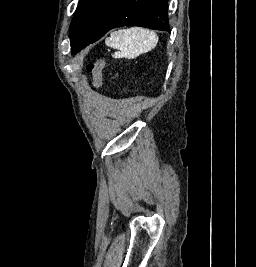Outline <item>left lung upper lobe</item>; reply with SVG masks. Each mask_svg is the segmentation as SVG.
<instances>
[{
  "label": "left lung upper lobe",
  "mask_w": 256,
  "mask_h": 267,
  "mask_svg": "<svg viewBox=\"0 0 256 267\" xmlns=\"http://www.w3.org/2000/svg\"><path fill=\"white\" fill-rule=\"evenodd\" d=\"M167 5L168 0H80L71 23V53H77L116 27L169 31Z\"/></svg>",
  "instance_id": "1"
}]
</instances>
